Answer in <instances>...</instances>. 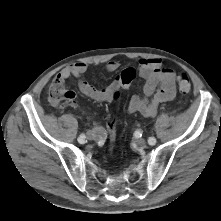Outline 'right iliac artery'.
Segmentation results:
<instances>
[{
	"label": "right iliac artery",
	"mask_w": 221,
	"mask_h": 221,
	"mask_svg": "<svg viewBox=\"0 0 221 221\" xmlns=\"http://www.w3.org/2000/svg\"><path fill=\"white\" fill-rule=\"evenodd\" d=\"M85 138H86V136L84 134H81L78 138V142L81 144H84L86 142Z\"/></svg>",
	"instance_id": "obj_1"
}]
</instances>
